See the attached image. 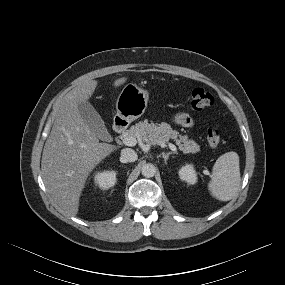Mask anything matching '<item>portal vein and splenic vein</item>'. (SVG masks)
Returning a JSON list of instances; mask_svg holds the SVG:
<instances>
[{"label":"portal vein and splenic vein","mask_w":285,"mask_h":285,"mask_svg":"<svg viewBox=\"0 0 285 285\" xmlns=\"http://www.w3.org/2000/svg\"><path fill=\"white\" fill-rule=\"evenodd\" d=\"M123 143L126 145V146H135L137 144V140L135 137H132V136H126L123 138ZM161 147H165L166 145L165 144H160ZM168 147L173 150V151H177V147L172 144V143H169L168 144Z\"/></svg>","instance_id":"18ae733b"}]
</instances>
